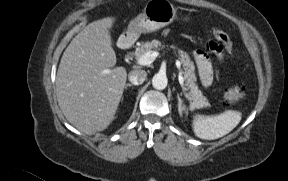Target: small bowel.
Instances as JSON below:
<instances>
[{"instance_id": "1", "label": "small bowel", "mask_w": 288, "mask_h": 181, "mask_svg": "<svg viewBox=\"0 0 288 181\" xmlns=\"http://www.w3.org/2000/svg\"><path fill=\"white\" fill-rule=\"evenodd\" d=\"M211 50L215 53L219 61L223 60L222 53L212 48V45ZM193 57L199 70L201 84L204 87H209L213 82V68L207 53L202 50H197L193 53Z\"/></svg>"}]
</instances>
